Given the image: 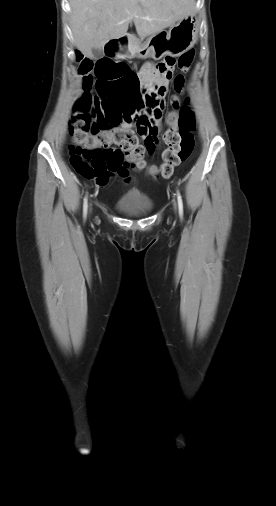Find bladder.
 I'll return each instance as SVG.
<instances>
[{
    "label": "bladder",
    "mask_w": 276,
    "mask_h": 506,
    "mask_svg": "<svg viewBox=\"0 0 276 506\" xmlns=\"http://www.w3.org/2000/svg\"><path fill=\"white\" fill-rule=\"evenodd\" d=\"M115 208L129 216H142L154 209V203L142 192H129L117 199Z\"/></svg>",
    "instance_id": "obj_1"
}]
</instances>
